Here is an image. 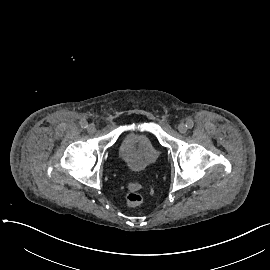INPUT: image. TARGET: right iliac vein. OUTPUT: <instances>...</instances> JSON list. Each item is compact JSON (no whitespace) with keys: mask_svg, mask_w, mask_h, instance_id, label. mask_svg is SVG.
<instances>
[{"mask_svg":"<svg viewBox=\"0 0 270 270\" xmlns=\"http://www.w3.org/2000/svg\"><path fill=\"white\" fill-rule=\"evenodd\" d=\"M95 130H96V128H95V125H94V124H89V125L87 126V131H88L89 133H94Z\"/></svg>","mask_w":270,"mask_h":270,"instance_id":"obj_1","label":"right iliac vein"}]
</instances>
